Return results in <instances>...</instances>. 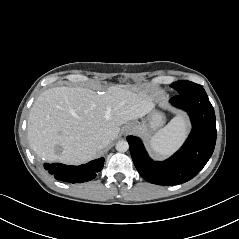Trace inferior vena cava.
I'll list each match as a JSON object with an SVG mask.
<instances>
[{"label": "inferior vena cava", "instance_id": "602c4592", "mask_svg": "<svg viewBox=\"0 0 239 239\" xmlns=\"http://www.w3.org/2000/svg\"><path fill=\"white\" fill-rule=\"evenodd\" d=\"M110 144V140L107 138H103L99 143V148L102 149Z\"/></svg>", "mask_w": 239, "mask_h": 239}]
</instances>
